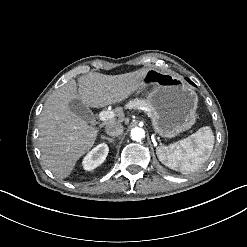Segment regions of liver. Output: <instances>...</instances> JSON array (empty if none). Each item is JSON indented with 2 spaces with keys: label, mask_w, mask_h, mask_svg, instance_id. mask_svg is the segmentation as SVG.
Masks as SVG:
<instances>
[{
  "label": "liver",
  "mask_w": 247,
  "mask_h": 247,
  "mask_svg": "<svg viewBox=\"0 0 247 247\" xmlns=\"http://www.w3.org/2000/svg\"><path fill=\"white\" fill-rule=\"evenodd\" d=\"M147 69L120 75L89 72L76 81L69 80L46 100L39 118V147L43 164L58 178L70 175L77 160L89 151L98 129L73 113L69 102L80 99L93 108L119 103L138 90ZM115 122L110 119L102 124Z\"/></svg>",
  "instance_id": "6515ba94"
}]
</instances>
